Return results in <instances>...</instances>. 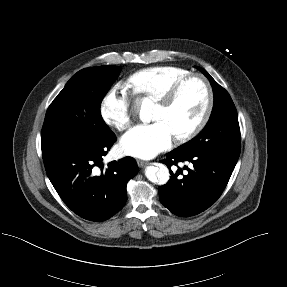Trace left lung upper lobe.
Here are the masks:
<instances>
[{
	"label": "left lung upper lobe",
	"instance_id": "left-lung-upper-lobe-1",
	"mask_svg": "<svg viewBox=\"0 0 287 287\" xmlns=\"http://www.w3.org/2000/svg\"><path fill=\"white\" fill-rule=\"evenodd\" d=\"M199 69L210 81L214 92V105L208 123L202 132L180 146L186 151H213L230 158L240 155L241 136L237 111L228 92L221 87L205 69Z\"/></svg>",
	"mask_w": 287,
	"mask_h": 287
}]
</instances>
